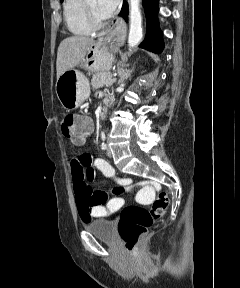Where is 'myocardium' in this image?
<instances>
[{
  "label": "myocardium",
  "mask_w": 240,
  "mask_h": 288,
  "mask_svg": "<svg viewBox=\"0 0 240 288\" xmlns=\"http://www.w3.org/2000/svg\"><path fill=\"white\" fill-rule=\"evenodd\" d=\"M84 8H85L87 22L93 30L100 29L105 25L106 23L105 20L97 18L94 11L87 3V0H84Z\"/></svg>",
  "instance_id": "myocardium-1"
}]
</instances>
